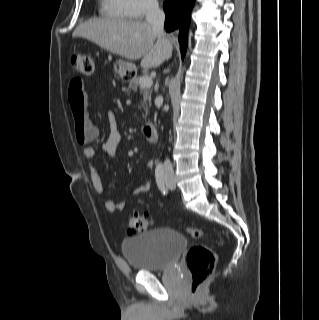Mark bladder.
<instances>
[{
    "mask_svg": "<svg viewBox=\"0 0 319 320\" xmlns=\"http://www.w3.org/2000/svg\"><path fill=\"white\" fill-rule=\"evenodd\" d=\"M187 245L182 232L157 228L124 239L122 253L132 269L153 272L170 268Z\"/></svg>",
    "mask_w": 319,
    "mask_h": 320,
    "instance_id": "obj_1",
    "label": "bladder"
}]
</instances>
